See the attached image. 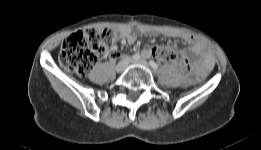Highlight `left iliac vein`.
Here are the masks:
<instances>
[{
    "instance_id": "left-iliac-vein-1",
    "label": "left iliac vein",
    "mask_w": 261,
    "mask_h": 150,
    "mask_svg": "<svg viewBox=\"0 0 261 150\" xmlns=\"http://www.w3.org/2000/svg\"><path fill=\"white\" fill-rule=\"evenodd\" d=\"M132 63H136V64H140V65H144V66H146V62H145L144 59L133 60Z\"/></svg>"
}]
</instances>
